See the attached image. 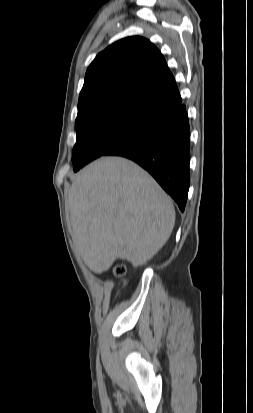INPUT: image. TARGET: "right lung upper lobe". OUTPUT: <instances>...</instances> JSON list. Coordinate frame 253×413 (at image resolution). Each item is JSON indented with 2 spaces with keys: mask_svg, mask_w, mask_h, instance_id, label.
<instances>
[{
  "mask_svg": "<svg viewBox=\"0 0 253 413\" xmlns=\"http://www.w3.org/2000/svg\"><path fill=\"white\" fill-rule=\"evenodd\" d=\"M182 103L160 51L143 37L121 39L99 53L87 69L78 115L127 107L152 115Z\"/></svg>",
  "mask_w": 253,
  "mask_h": 413,
  "instance_id": "cb5924a9",
  "label": "right lung upper lobe"
}]
</instances>
